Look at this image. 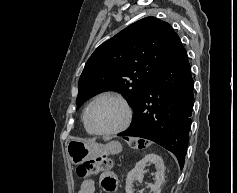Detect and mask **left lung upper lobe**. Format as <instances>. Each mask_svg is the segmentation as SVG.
Wrapping results in <instances>:
<instances>
[{"instance_id": "1", "label": "left lung upper lobe", "mask_w": 237, "mask_h": 193, "mask_svg": "<svg viewBox=\"0 0 237 193\" xmlns=\"http://www.w3.org/2000/svg\"><path fill=\"white\" fill-rule=\"evenodd\" d=\"M180 44L173 28L155 17L131 24L88 59L79 79L77 108L97 93L114 90L137 111L155 76Z\"/></svg>"}]
</instances>
